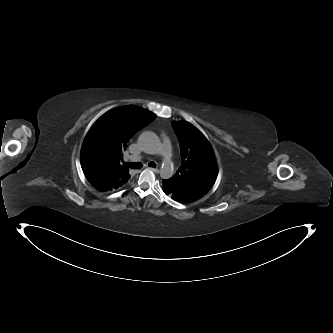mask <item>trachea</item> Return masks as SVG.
<instances>
[{
  "mask_svg": "<svg viewBox=\"0 0 333 333\" xmlns=\"http://www.w3.org/2000/svg\"><path fill=\"white\" fill-rule=\"evenodd\" d=\"M126 167L132 168V169H140L143 165L140 162H136V163H125L124 164ZM149 167H153L156 168V163L153 161H150L148 163Z\"/></svg>",
  "mask_w": 333,
  "mask_h": 333,
  "instance_id": "trachea-1",
  "label": "trachea"
}]
</instances>
